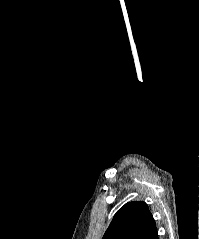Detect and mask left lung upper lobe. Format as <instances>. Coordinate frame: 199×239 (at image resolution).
Returning a JSON list of instances; mask_svg holds the SVG:
<instances>
[{"label": "left lung upper lobe", "mask_w": 199, "mask_h": 239, "mask_svg": "<svg viewBox=\"0 0 199 239\" xmlns=\"http://www.w3.org/2000/svg\"><path fill=\"white\" fill-rule=\"evenodd\" d=\"M155 220L145 202H129L114 215L102 239H155Z\"/></svg>", "instance_id": "obj_1"}]
</instances>
